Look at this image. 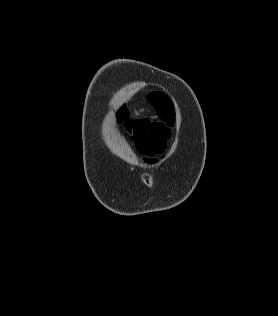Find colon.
Instances as JSON below:
<instances>
[{"mask_svg": "<svg viewBox=\"0 0 278 316\" xmlns=\"http://www.w3.org/2000/svg\"><path fill=\"white\" fill-rule=\"evenodd\" d=\"M121 122L131 135L137 150L143 154L153 156L165 150L170 132L162 123L128 118L121 119Z\"/></svg>", "mask_w": 278, "mask_h": 316, "instance_id": "1", "label": "colon"}]
</instances>
